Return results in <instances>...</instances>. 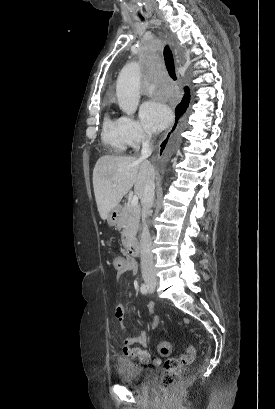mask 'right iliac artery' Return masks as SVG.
Here are the masks:
<instances>
[{"label":"right iliac artery","instance_id":"obj_1","mask_svg":"<svg viewBox=\"0 0 275 409\" xmlns=\"http://www.w3.org/2000/svg\"><path fill=\"white\" fill-rule=\"evenodd\" d=\"M140 291L142 294H147L148 292V286L146 284H142L140 287Z\"/></svg>","mask_w":275,"mask_h":409}]
</instances>
